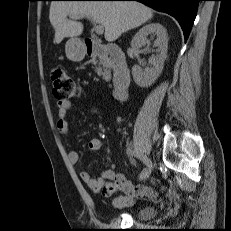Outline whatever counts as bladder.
Listing matches in <instances>:
<instances>
[{
    "label": "bladder",
    "mask_w": 231,
    "mask_h": 231,
    "mask_svg": "<svg viewBox=\"0 0 231 231\" xmlns=\"http://www.w3.org/2000/svg\"><path fill=\"white\" fill-rule=\"evenodd\" d=\"M156 212L157 209L153 206H143L136 211L135 216L137 219H148Z\"/></svg>",
    "instance_id": "31cf9c89"
}]
</instances>
